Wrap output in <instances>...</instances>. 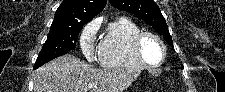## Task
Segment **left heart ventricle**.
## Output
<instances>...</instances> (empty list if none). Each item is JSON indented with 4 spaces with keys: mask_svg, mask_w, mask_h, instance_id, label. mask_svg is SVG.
Wrapping results in <instances>:
<instances>
[{
    "mask_svg": "<svg viewBox=\"0 0 225 92\" xmlns=\"http://www.w3.org/2000/svg\"><path fill=\"white\" fill-rule=\"evenodd\" d=\"M142 54L149 63H157L161 60L162 50L160 45L153 39L147 38L141 46Z\"/></svg>",
    "mask_w": 225,
    "mask_h": 92,
    "instance_id": "obj_1",
    "label": "left heart ventricle"
}]
</instances>
